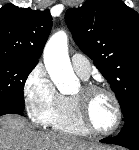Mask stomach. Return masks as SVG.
I'll return each instance as SVG.
<instances>
[{
	"label": "stomach",
	"mask_w": 139,
	"mask_h": 150,
	"mask_svg": "<svg viewBox=\"0 0 139 150\" xmlns=\"http://www.w3.org/2000/svg\"><path fill=\"white\" fill-rule=\"evenodd\" d=\"M96 150H114V149H112V148H104V147H100V148H98V149H96Z\"/></svg>",
	"instance_id": "1"
}]
</instances>
